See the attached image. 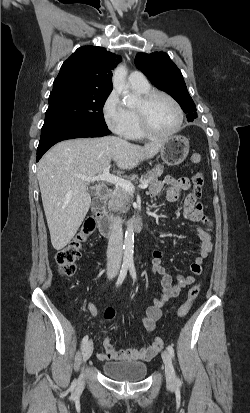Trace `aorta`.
Returning a JSON list of instances; mask_svg holds the SVG:
<instances>
[{
  "label": "aorta",
  "mask_w": 250,
  "mask_h": 413,
  "mask_svg": "<svg viewBox=\"0 0 250 413\" xmlns=\"http://www.w3.org/2000/svg\"><path fill=\"white\" fill-rule=\"evenodd\" d=\"M127 69L126 66L120 64L113 72V87L123 96V101L127 106H133L136 103V98L129 92L126 84ZM123 262L125 265H133L134 252V229L131 224L127 226L125 232L124 246H123Z\"/></svg>",
  "instance_id": "762f6f07"
}]
</instances>
